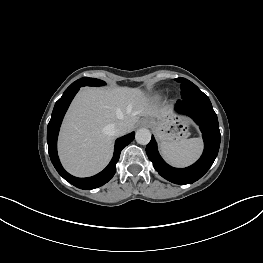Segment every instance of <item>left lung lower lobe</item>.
I'll return each mask as SVG.
<instances>
[{
	"label": "left lung lower lobe",
	"instance_id": "obj_1",
	"mask_svg": "<svg viewBox=\"0 0 263 263\" xmlns=\"http://www.w3.org/2000/svg\"><path fill=\"white\" fill-rule=\"evenodd\" d=\"M175 110L189 115L200 126L205 145L201 158L187 168H173L166 164L159 155L153 136L146 147V153L155 170L163 178L175 184H191L208 171L217 157L220 146L218 119L209 98L204 93L177 101Z\"/></svg>",
	"mask_w": 263,
	"mask_h": 263
}]
</instances>
